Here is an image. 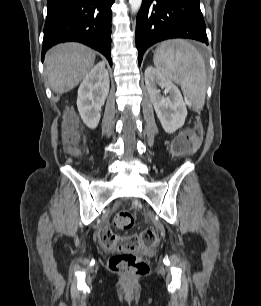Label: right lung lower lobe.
I'll return each mask as SVG.
<instances>
[{"mask_svg":"<svg viewBox=\"0 0 261 306\" xmlns=\"http://www.w3.org/2000/svg\"><path fill=\"white\" fill-rule=\"evenodd\" d=\"M114 0H48L42 61L53 45L77 41L111 60V6Z\"/></svg>","mask_w":261,"mask_h":306,"instance_id":"1","label":"right lung lower lobe"}]
</instances>
